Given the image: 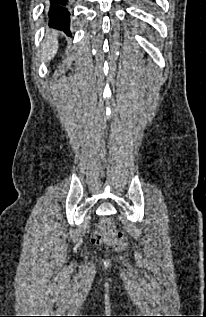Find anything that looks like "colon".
Wrapping results in <instances>:
<instances>
[{
    "instance_id": "1",
    "label": "colon",
    "mask_w": 206,
    "mask_h": 317,
    "mask_svg": "<svg viewBox=\"0 0 206 317\" xmlns=\"http://www.w3.org/2000/svg\"><path fill=\"white\" fill-rule=\"evenodd\" d=\"M92 242L96 245L108 244L117 250L126 246L124 234L115 229L111 220H103L92 235Z\"/></svg>"
}]
</instances>
